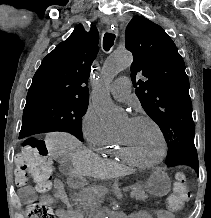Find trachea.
<instances>
[{
	"label": "trachea",
	"instance_id": "trachea-1",
	"mask_svg": "<svg viewBox=\"0 0 211 218\" xmlns=\"http://www.w3.org/2000/svg\"><path fill=\"white\" fill-rule=\"evenodd\" d=\"M115 40L114 33H105L103 38V48L106 51H109L110 48L113 46Z\"/></svg>",
	"mask_w": 211,
	"mask_h": 218
}]
</instances>
